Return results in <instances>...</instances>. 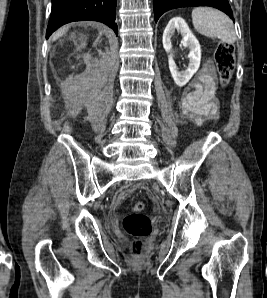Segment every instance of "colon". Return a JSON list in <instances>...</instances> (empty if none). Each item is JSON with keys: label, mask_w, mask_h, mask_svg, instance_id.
<instances>
[{"label": "colon", "mask_w": 267, "mask_h": 298, "mask_svg": "<svg viewBox=\"0 0 267 298\" xmlns=\"http://www.w3.org/2000/svg\"><path fill=\"white\" fill-rule=\"evenodd\" d=\"M215 63L222 86H227L231 80L235 66V49L230 43H220L215 53ZM144 204L136 202L131 211L123 218V228L134 240L131 250L134 255H140L143 249V239L152 232V223L148 216L143 213Z\"/></svg>", "instance_id": "1"}]
</instances>
